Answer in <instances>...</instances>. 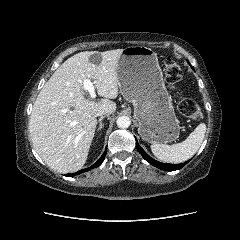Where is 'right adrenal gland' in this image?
<instances>
[{
	"label": "right adrenal gland",
	"mask_w": 240,
	"mask_h": 240,
	"mask_svg": "<svg viewBox=\"0 0 240 240\" xmlns=\"http://www.w3.org/2000/svg\"><path fill=\"white\" fill-rule=\"evenodd\" d=\"M105 118V116H101L100 118H99V126H98V130L99 131H101L102 129H103V127H104V125L102 124V120Z\"/></svg>",
	"instance_id": "2a0ac1e0"
}]
</instances>
